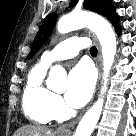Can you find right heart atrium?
Returning <instances> with one entry per match:
<instances>
[{
    "mask_svg": "<svg viewBox=\"0 0 136 136\" xmlns=\"http://www.w3.org/2000/svg\"><path fill=\"white\" fill-rule=\"evenodd\" d=\"M52 108L56 117H61L65 114L66 108L60 96L54 94Z\"/></svg>",
    "mask_w": 136,
    "mask_h": 136,
    "instance_id": "obj_1",
    "label": "right heart atrium"
}]
</instances>
